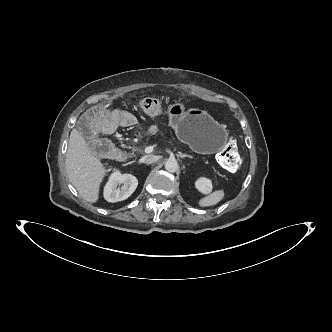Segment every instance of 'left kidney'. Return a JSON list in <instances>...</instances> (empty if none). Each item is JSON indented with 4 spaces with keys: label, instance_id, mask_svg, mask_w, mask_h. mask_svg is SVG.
I'll list each match as a JSON object with an SVG mask.
<instances>
[{
    "label": "left kidney",
    "instance_id": "left-kidney-1",
    "mask_svg": "<svg viewBox=\"0 0 332 332\" xmlns=\"http://www.w3.org/2000/svg\"><path fill=\"white\" fill-rule=\"evenodd\" d=\"M195 187L202 193H208L212 190V182L207 178H199L195 182Z\"/></svg>",
    "mask_w": 332,
    "mask_h": 332
}]
</instances>
